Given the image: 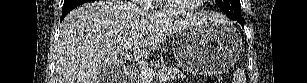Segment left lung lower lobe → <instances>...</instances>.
<instances>
[{"instance_id":"obj_1","label":"left lung lower lobe","mask_w":307,"mask_h":83,"mask_svg":"<svg viewBox=\"0 0 307 83\" xmlns=\"http://www.w3.org/2000/svg\"><path fill=\"white\" fill-rule=\"evenodd\" d=\"M236 21H238L242 25V27L244 28V20H236Z\"/></svg>"}]
</instances>
